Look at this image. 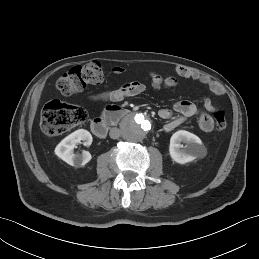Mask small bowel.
Wrapping results in <instances>:
<instances>
[{"label":"small bowel","instance_id":"c3829d8e","mask_svg":"<svg viewBox=\"0 0 259 259\" xmlns=\"http://www.w3.org/2000/svg\"><path fill=\"white\" fill-rule=\"evenodd\" d=\"M112 71L115 74H123L125 69L122 67H114ZM175 75L162 76L158 73H150V82L153 89L158 90L161 88H174L178 84V78L192 79L198 81L202 84H205L209 89L218 95L224 93L223 86L213 78L208 75H205L197 70L186 66H177L174 70ZM145 90V85L138 81H130L122 84L116 89L104 91L98 94H95L91 97L93 101H111V102H120L123 99L135 96L142 93ZM202 103L204 109L194 102L188 100L177 101L173 105V110L170 109H161L159 110V116L163 119L168 120L164 129L165 131H171L177 126L192 118L194 116H199V127L203 132L209 133L214 129L213 119L206 112H211L216 109L212 102L208 98H203ZM173 112L178 116L172 118Z\"/></svg>","mask_w":259,"mask_h":259}]
</instances>
